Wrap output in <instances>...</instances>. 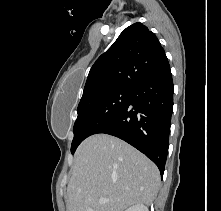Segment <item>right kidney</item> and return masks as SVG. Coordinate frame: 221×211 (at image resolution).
<instances>
[{
  "mask_svg": "<svg viewBox=\"0 0 221 211\" xmlns=\"http://www.w3.org/2000/svg\"><path fill=\"white\" fill-rule=\"evenodd\" d=\"M125 211H149V210L145 205L137 204V205L131 206L130 208H128Z\"/></svg>",
  "mask_w": 221,
  "mask_h": 211,
  "instance_id": "right-kidney-1",
  "label": "right kidney"
}]
</instances>
